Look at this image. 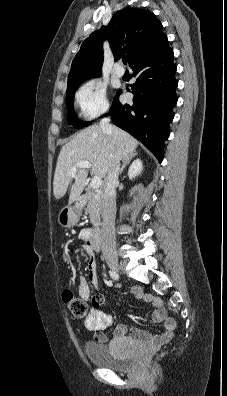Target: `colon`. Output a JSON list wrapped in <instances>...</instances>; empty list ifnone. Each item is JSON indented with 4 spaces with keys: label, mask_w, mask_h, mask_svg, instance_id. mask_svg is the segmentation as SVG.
I'll list each match as a JSON object with an SVG mask.
<instances>
[{
    "label": "colon",
    "mask_w": 227,
    "mask_h": 396,
    "mask_svg": "<svg viewBox=\"0 0 227 396\" xmlns=\"http://www.w3.org/2000/svg\"><path fill=\"white\" fill-rule=\"evenodd\" d=\"M64 303L67 304L70 312L77 318H84L87 315V305L83 299L77 297L70 288H65L62 293Z\"/></svg>",
    "instance_id": "1"
}]
</instances>
